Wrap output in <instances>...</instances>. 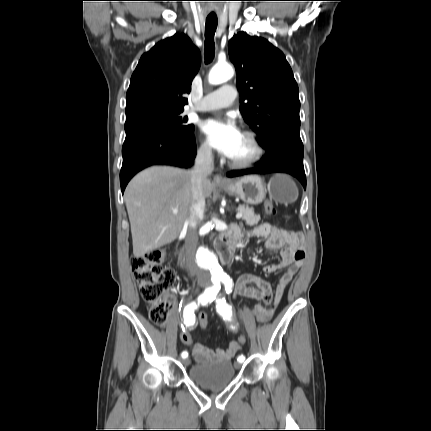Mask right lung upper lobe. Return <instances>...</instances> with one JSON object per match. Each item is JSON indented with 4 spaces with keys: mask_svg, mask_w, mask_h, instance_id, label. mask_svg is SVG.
I'll return each instance as SVG.
<instances>
[{
    "mask_svg": "<svg viewBox=\"0 0 431 431\" xmlns=\"http://www.w3.org/2000/svg\"><path fill=\"white\" fill-rule=\"evenodd\" d=\"M201 64L199 49L188 36L175 34L144 53L126 94V120L155 112L184 110L183 94Z\"/></svg>",
    "mask_w": 431,
    "mask_h": 431,
    "instance_id": "cb5924a9",
    "label": "right lung upper lobe"
}]
</instances>
